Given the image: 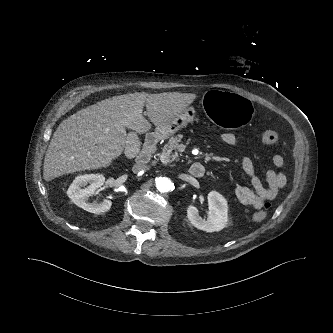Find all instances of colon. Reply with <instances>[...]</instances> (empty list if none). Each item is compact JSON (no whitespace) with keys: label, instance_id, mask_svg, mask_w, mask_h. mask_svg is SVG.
Listing matches in <instances>:
<instances>
[{"label":"colon","instance_id":"colon-1","mask_svg":"<svg viewBox=\"0 0 333 333\" xmlns=\"http://www.w3.org/2000/svg\"><path fill=\"white\" fill-rule=\"evenodd\" d=\"M278 141V134L275 132V131H266L263 133L262 135V142L265 144V145H271V144H274ZM271 208V204L270 203H266L265 204V207H264V210L262 211H259V212H256L252 219L254 222H261L263 221L266 216H267V211Z\"/></svg>","mask_w":333,"mask_h":333}]
</instances>
